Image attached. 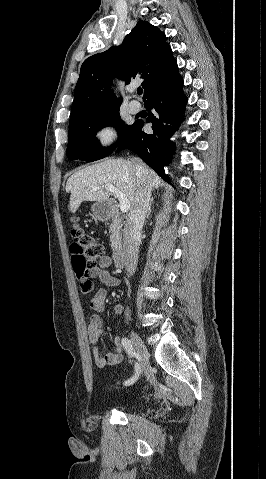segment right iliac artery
<instances>
[{"label": "right iliac artery", "instance_id": "obj_1", "mask_svg": "<svg viewBox=\"0 0 266 479\" xmlns=\"http://www.w3.org/2000/svg\"><path fill=\"white\" fill-rule=\"evenodd\" d=\"M122 345H123V347H124L126 353H127L130 357H134L135 351H134V348H133V346H132V344H131V341H130L128 338H126V337L122 338ZM135 370H136L135 375H133L130 379L126 380V381L124 382V385H126V386L132 385V384L135 383V381L138 379V377H139V375H140V372H141L138 363H135Z\"/></svg>", "mask_w": 266, "mask_h": 479}]
</instances>
